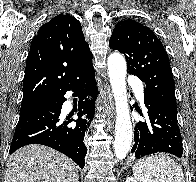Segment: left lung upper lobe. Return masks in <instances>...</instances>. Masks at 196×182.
<instances>
[{"label": "left lung upper lobe", "mask_w": 196, "mask_h": 182, "mask_svg": "<svg viewBox=\"0 0 196 182\" xmlns=\"http://www.w3.org/2000/svg\"><path fill=\"white\" fill-rule=\"evenodd\" d=\"M113 50L125 55L127 73L144 83V90L177 111L173 73L162 42L143 24L128 19L116 24L109 42Z\"/></svg>", "instance_id": "left-lung-upper-lobe-1"}]
</instances>
